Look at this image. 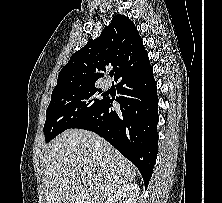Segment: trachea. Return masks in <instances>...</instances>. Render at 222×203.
Here are the masks:
<instances>
[{
    "instance_id": "obj_1",
    "label": "trachea",
    "mask_w": 222,
    "mask_h": 203,
    "mask_svg": "<svg viewBox=\"0 0 222 203\" xmlns=\"http://www.w3.org/2000/svg\"><path fill=\"white\" fill-rule=\"evenodd\" d=\"M109 75H110V77H113L114 72H113V71H110V72H109Z\"/></svg>"
}]
</instances>
